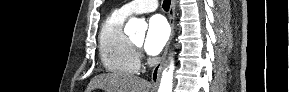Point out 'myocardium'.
<instances>
[{
	"mask_svg": "<svg viewBox=\"0 0 289 92\" xmlns=\"http://www.w3.org/2000/svg\"><path fill=\"white\" fill-rule=\"evenodd\" d=\"M132 42V41H131ZM132 45L135 50H138L140 48V45H137L136 43L132 42Z\"/></svg>",
	"mask_w": 289,
	"mask_h": 92,
	"instance_id": "obj_1",
	"label": "myocardium"
}]
</instances>
